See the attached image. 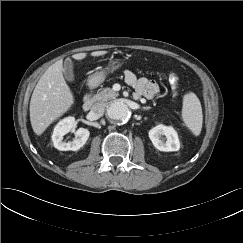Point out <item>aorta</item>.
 I'll return each instance as SVG.
<instances>
[{"instance_id":"1","label":"aorta","mask_w":243,"mask_h":243,"mask_svg":"<svg viewBox=\"0 0 243 243\" xmlns=\"http://www.w3.org/2000/svg\"><path fill=\"white\" fill-rule=\"evenodd\" d=\"M107 115L113 120L127 122L131 117V111L126 104L115 102L107 108Z\"/></svg>"}]
</instances>
